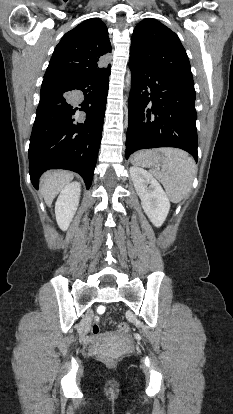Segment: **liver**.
<instances>
[{
  "label": "liver",
  "instance_id": "1",
  "mask_svg": "<svg viewBox=\"0 0 233 414\" xmlns=\"http://www.w3.org/2000/svg\"><path fill=\"white\" fill-rule=\"evenodd\" d=\"M73 173L64 170L46 172L41 177L40 192L45 203L50 206L58 193L73 179Z\"/></svg>",
  "mask_w": 233,
  "mask_h": 414
}]
</instances>
